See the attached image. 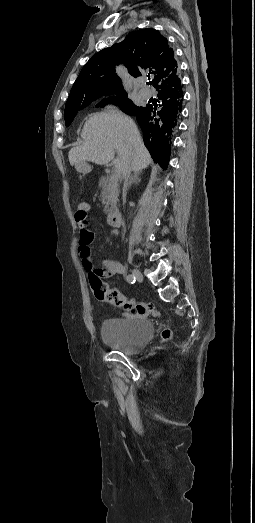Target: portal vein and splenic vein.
<instances>
[{"label": "portal vein and splenic vein", "mask_w": 255, "mask_h": 523, "mask_svg": "<svg viewBox=\"0 0 255 523\" xmlns=\"http://www.w3.org/2000/svg\"><path fill=\"white\" fill-rule=\"evenodd\" d=\"M118 173V170L116 169V166H111V174L116 175Z\"/></svg>", "instance_id": "portal-vein-and-splenic-vein-1"}]
</instances>
